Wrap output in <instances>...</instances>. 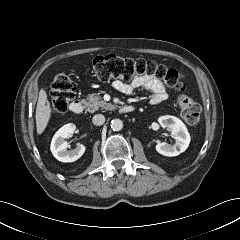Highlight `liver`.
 <instances>
[{
	"instance_id": "1",
	"label": "liver",
	"mask_w": 240,
	"mask_h": 240,
	"mask_svg": "<svg viewBox=\"0 0 240 240\" xmlns=\"http://www.w3.org/2000/svg\"><path fill=\"white\" fill-rule=\"evenodd\" d=\"M51 115L50 103L47 100L45 90H41L36 107V128L37 133L42 134L45 130Z\"/></svg>"
}]
</instances>
